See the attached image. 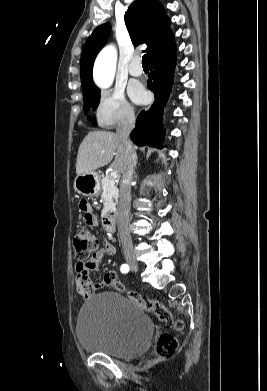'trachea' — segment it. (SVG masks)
I'll list each match as a JSON object with an SVG mask.
<instances>
[{"label": "trachea", "mask_w": 267, "mask_h": 391, "mask_svg": "<svg viewBox=\"0 0 267 391\" xmlns=\"http://www.w3.org/2000/svg\"><path fill=\"white\" fill-rule=\"evenodd\" d=\"M142 65H148L147 55H146V54H144V55L142 56Z\"/></svg>", "instance_id": "3493384b"}]
</instances>
